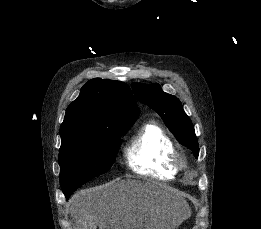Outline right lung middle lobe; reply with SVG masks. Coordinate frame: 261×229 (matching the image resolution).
Returning a JSON list of instances; mask_svg holds the SVG:
<instances>
[{"label":"right lung middle lobe","instance_id":"dd1d6c3e","mask_svg":"<svg viewBox=\"0 0 261 229\" xmlns=\"http://www.w3.org/2000/svg\"><path fill=\"white\" fill-rule=\"evenodd\" d=\"M132 124L101 128L99 136L61 145L60 183L66 200L84 183L110 170L122 142L120 137Z\"/></svg>","mask_w":261,"mask_h":229}]
</instances>
